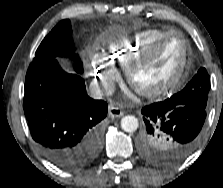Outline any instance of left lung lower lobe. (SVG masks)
<instances>
[{
	"instance_id": "1",
	"label": "left lung lower lobe",
	"mask_w": 223,
	"mask_h": 188,
	"mask_svg": "<svg viewBox=\"0 0 223 188\" xmlns=\"http://www.w3.org/2000/svg\"><path fill=\"white\" fill-rule=\"evenodd\" d=\"M145 132L160 131L174 144V163L184 159L197 146L199 133L206 118L205 109L195 106H178L165 101L142 109Z\"/></svg>"
}]
</instances>
